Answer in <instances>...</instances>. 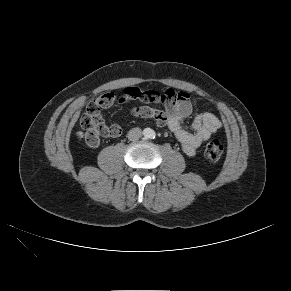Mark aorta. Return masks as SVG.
<instances>
[{
  "label": "aorta",
  "instance_id": "aorta-1",
  "mask_svg": "<svg viewBox=\"0 0 291 291\" xmlns=\"http://www.w3.org/2000/svg\"><path fill=\"white\" fill-rule=\"evenodd\" d=\"M153 134H154V131H153L152 129H149V128H148V129L145 130V136H146V137H148V138H149V137H152Z\"/></svg>",
  "mask_w": 291,
  "mask_h": 291
}]
</instances>
